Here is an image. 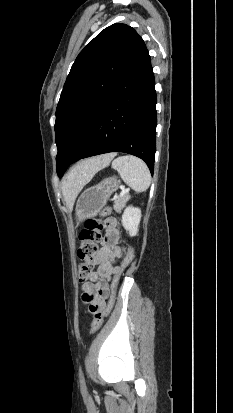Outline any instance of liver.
Here are the masks:
<instances>
[{
  "instance_id": "obj_1",
  "label": "liver",
  "mask_w": 233,
  "mask_h": 413,
  "mask_svg": "<svg viewBox=\"0 0 233 413\" xmlns=\"http://www.w3.org/2000/svg\"><path fill=\"white\" fill-rule=\"evenodd\" d=\"M115 154H105L84 160L74 166L62 181V193L69 210H72L75 199L82 188L99 170L109 165Z\"/></svg>"
}]
</instances>
